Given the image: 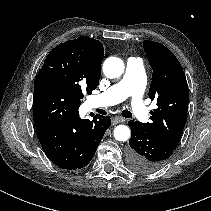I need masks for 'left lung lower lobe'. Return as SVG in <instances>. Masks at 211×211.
<instances>
[{
	"mask_svg": "<svg viewBox=\"0 0 211 211\" xmlns=\"http://www.w3.org/2000/svg\"><path fill=\"white\" fill-rule=\"evenodd\" d=\"M128 125L131 128L127 151L129 167L138 173H152L163 167L175 148L139 121L130 120Z\"/></svg>",
	"mask_w": 211,
	"mask_h": 211,
	"instance_id": "obj_1",
	"label": "left lung lower lobe"
}]
</instances>
